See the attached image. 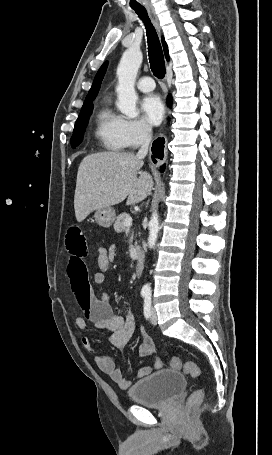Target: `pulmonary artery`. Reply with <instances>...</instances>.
Masks as SVG:
<instances>
[{"label":"pulmonary artery","instance_id":"e3ab8cb5","mask_svg":"<svg viewBox=\"0 0 272 455\" xmlns=\"http://www.w3.org/2000/svg\"><path fill=\"white\" fill-rule=\"evenodd\" d=\"M137 88L143 92H151L155 88V83L151 77L144 76L138 80Z\"/></svg>","mask_w":272,"mask_h":455}]
</instances>
